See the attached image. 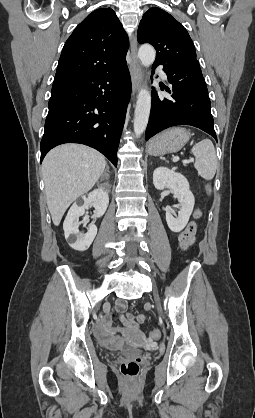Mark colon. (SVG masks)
<instances>
[{"instance_id": "1", "label": "colon", "mask_w": 255, "mask_h": 418, "mask_svg": "<svg viewBox=\"0 0 255 418\" xmlns=\"http://www.w3.org/2000/svg\"><path fill=\"white\" fill-rule=\"evenodd\" d=\"M206 192L208 195L211 193V186H206ZM200 216V212H195V217L198 218ZM186 228H198L196 222L192 221ZM180 241V240H179ZM150 337L152 339H158L160 337V332L158 330H153L150 333ZM120 370L122 374L128 378H135L139 374L140 371V364L138 360H124L120 364Z\"/></svg>"}]
</instances>
